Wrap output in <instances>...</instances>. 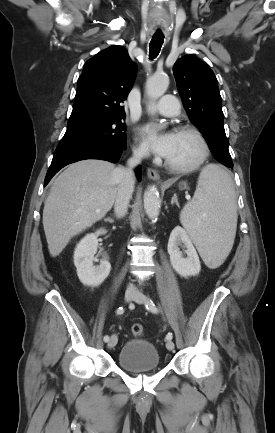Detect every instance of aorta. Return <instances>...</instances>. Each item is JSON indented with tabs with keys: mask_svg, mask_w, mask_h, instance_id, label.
Segmentation results:
<instances>
[{
	"mask_svg": "<svg viewBox=\"0 0 275 433\" xmlns=\"http://www.w3.org/2000/svg\"><path fill=\"white\" fill-rule=\"evenodd\" d=\"M169 80L166 75H154L146 82V93L153 104L167 90ZM161 199L155 186H149L144 193V209L149 219L154 220L159 216Z\"/></svg>",
	"mask_w": 275,
	"mask_h": 433,
	"instance_id": "aorta-1",
	"label": "aorta"
}]
</instances>
